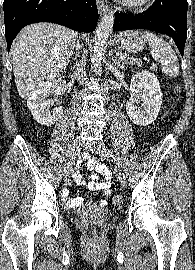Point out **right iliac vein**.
I'll list each match as a JSON object with an SVG mask.
<instances>
[{"mask_svg":"<svg viewBox=\"0 0 195 270\" xmlns=\"http://www.w3.org/2000/svg\"><path fill=\"white\" fill-rule=\"evenodd\" d=\"M81 150V141L80 139H77L74 141L72 149H71V155H70V160L67 166L65 167L64 170V182L67 184L69 183V176L73 173L74 171V165L77 157L79 156Z\"/></svg>","mask_w":195,"mask_h":270,"instance_id":"63e3f726","label":"right iliac vein"}]
</instances>
